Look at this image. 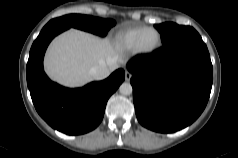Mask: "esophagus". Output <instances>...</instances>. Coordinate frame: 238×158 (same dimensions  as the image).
Instances as JSON below:
<instances>
[{
    "label": "esophagus",
    "instance_id": "1",
    "mask_svg": "<svg viewBox=\"0 0 238 158\" xmlns=\"http://www.w3.org/2000/svg\"><path fill=\"white\" fill-rule=\"evenodd\" d=\"M132 74L129 71H125V80L130 81Z\"/></svg>",
    "mask_w": 238,
    "mask_h": 158
}]
</instances>
